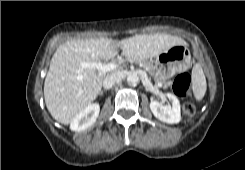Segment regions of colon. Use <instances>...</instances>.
Instances as JSON below:
<instances>
[{"label":"colon","instance_id":"5ec220e1","mask_svg":"<svg viewBox=\"0 0 245 170\" xmlns=\"http://www.w3.org/2000/svg\"><path fill=\"white\" fill-rule=\"evenodd\" d=\"M191 77L187 72L180 73L173 82V92L186 101L183 103L182 112L186 120L191 119L195 114V102L190 98Z\"/></svg>","mask_w":245,"mask_h":170}]
</instances>
